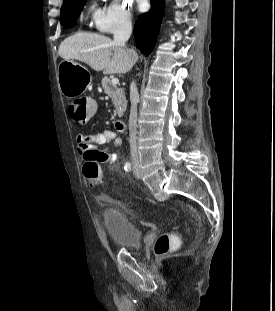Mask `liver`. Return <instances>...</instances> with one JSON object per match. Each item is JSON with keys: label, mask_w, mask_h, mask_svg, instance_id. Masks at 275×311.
<instances>
[{"label": "liver", "mask_w": 275, "mask_h": 311, "mask_svg": "<svg viewBox=\"0 0 275 311\" xmlns=\"http://www.w3.org/2000/svg\"><path fill=\"white\" fill-rule=\"evenodd\" d=\"M58 55L64 60H79L104 74H125L138 60L134 50L120 47L109 37L78 32L61 42Z\"/></svg>", "instance_id": "6515ba94"}]
</instances>
